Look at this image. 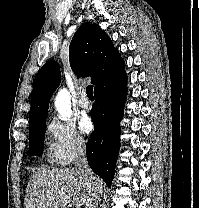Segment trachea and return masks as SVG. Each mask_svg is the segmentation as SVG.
<instances>
[{
	"mask_svg": "<svg viewBox=\"0 0 199 208\" xmlns=\"http://www.w3.org/2000/svg\"><path fill=\"white\" fill-rule=\"evenodd\" d=\"M86 93H87L88 98L94 99V96H93V86L92 85H88L86 87Z\"/></svg>",
	"mask_w": 199,
	"mask_h": 208,
	"instance_id": "trachea-1",
	"label": "trachea"
}]
</instances>
